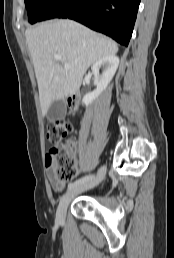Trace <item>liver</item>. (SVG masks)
Returning <instances> with one entry per match:
<instances>
[{"label":"liver","mask_w":174,"mask_h":258,"mask_svg":"<svg viewBox=\"0 0 174 258\" xmlns=\"http://www.w3.org/2000/svg\"><path fill=\"white\" fill-rule=\"evenodd\" d=\"M34 65L43 115L54 100H64L80 88L87 69L115 55L117 44L68 19L42 23L25 32ZM60 56V60H55ZM63 64H69L66 70Z\"/></svg>","instance_id":"1"}]
</instances>
